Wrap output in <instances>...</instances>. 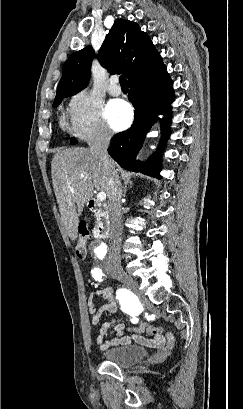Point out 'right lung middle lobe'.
Masks as SVG:
<instances>
[{
	"label": "right lung middle lobe",
	"mask_w": 243,
	"mask_h": 409,
	"mask_svg": "<svg viewBox=\"0 0 243 409\" xmlns=\"http://www.w3.org/2000/svg\"><path fill=\"white\" fill-rule=\"evenodd\" d=\"M64 97H68V96H61L58 100H55V101H54V104H53V107H57V106L61 103V101H62V99H63ZM76 143H77V141H72V142H71V144H76Z\"/></svg>",
	"instance_id": "1"
}]
</instances>
